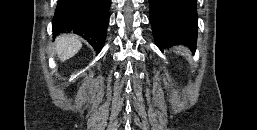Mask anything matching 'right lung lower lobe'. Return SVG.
Masks as SVG:
<instances>
[{"instance_id": "1", "label": "right lung lower lobe", "mask_w": 257, "mask_h": 130, "mask_svg": "<svg viewBox=\"0 0 257 130\" xmlns=\"http://www.w3.org/2000/svg\"><path fill=\"white\" fill-rule=\"evenodd\" d=\"M110 0H59L52 21L54 35L72 30L100 52L106 38Z\"/></svg>"}]
</instances>
